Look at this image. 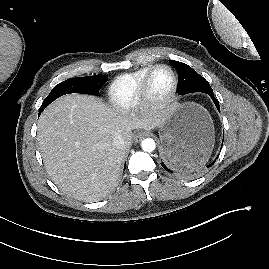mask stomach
Wrapping results in <instances>:
<instances>
[{
  "mask_svg": "<svg viewBox=\"0 0 269 269\" xmlns=\"http://www.w3.org/2000/svg\"><path fill=\"white\" fill-rule=\"evenodd\" d=\"M160 150L177 149L181 166L198 167L210 156L214 146V127L209 113L193 102L175 104L159 127Z\"/></svg>",
  "mask_w": 269,
  "mask_h": 269,
  "instance_id": "0dacf381",
  "label": "stomach"
}]
</instances>
